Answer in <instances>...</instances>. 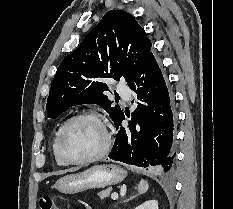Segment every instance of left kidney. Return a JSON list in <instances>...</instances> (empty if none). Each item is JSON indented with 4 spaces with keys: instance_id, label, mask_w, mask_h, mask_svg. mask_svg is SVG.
Masks as SVG:
<instances>
[{
    "instance_id": "obj_1",
    "label": "left kidney",
    "mask_w": 233,
    "mask_h": 209,
    "mask_svg": "<svg viewBox=\"0 0 233 209\" xmlns=\"http://www.w3.org/2000/svg\"><path fill=\"white\" fill-rule=\"evenodd\" d=\"M135 209H159L157 200H148Z\"/></svg>"
}]
</instances>
